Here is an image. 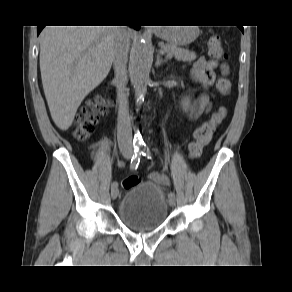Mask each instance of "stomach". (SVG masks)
<instances>
[{"label":"stomach","mask_w":292,"mask_h":292,"mask_svg":"<svg viewBox=\"0 0 292 292\" xmlns=\"http://www.w3.org/2000/svg\"><path fill=\"white\" fill-rule=\"evenodd\" d=\"M198 33L197 27H166L156 34L169 44L183 46L194 41Z\"/></svg>","instance_id":"stomach-1"}]
</instances>
